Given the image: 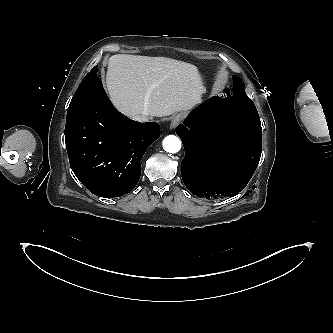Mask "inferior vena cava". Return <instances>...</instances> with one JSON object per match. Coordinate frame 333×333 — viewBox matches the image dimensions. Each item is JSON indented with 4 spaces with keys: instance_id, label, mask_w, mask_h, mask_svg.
<instances>
[{
    "instance_id": "obj_1",
    "label": "inferior vena cava",
    "mask_w": 333,
    "mask_h": 333,
    "mask_svg": "<svg viewBox=\"0 0 333 333\" xmlns=\"http://www.w3.org/2000/svg\"><path fill=\"white\" fill-rule=\"evenodd\" d=\"M133 119L136 121H139V122H146L149 120L148 114H146V113L136 115L133 117Z\"/></svg>"
}]
</instances>
